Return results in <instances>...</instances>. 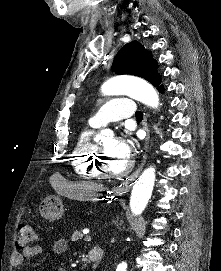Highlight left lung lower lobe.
<instances>
[{
    "instance_id": "obj_1",
    "label": "left lung lower lobe",
    "mask_w": 221,
    "mask_h": 271,
    "mask_svg": "<svg viewBox=\"0 0 221 271\" xmlns=\"http://www.w3.org/2000/svg\"><path fill=\"white\" fill-rule=\"evenodd\" d=\"M161 93L164 91L163 86L157 88Z\"/></svg>"
}]
</instances>
